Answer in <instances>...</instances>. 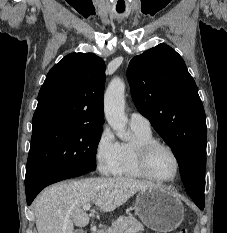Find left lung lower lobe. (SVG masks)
I'll return each mask as SVG.
<instances>
[{"label": "left lung lower lobe", "mask_w": 227, "mask_h": 233, "mask_svg": "<svg viewBox=\"0 0 227 233\" xmlns=\"http://www.w3.org/2000/svg\"><path fill=\"white\" fill-rule=\"evenodd\" d=\"M191 198L200 209H204V203H205L204 199L201 200L197 198L196 196H192Z\"/></svg>", "instance_id": "obj_1"}]
</instances>
